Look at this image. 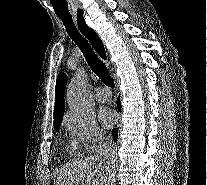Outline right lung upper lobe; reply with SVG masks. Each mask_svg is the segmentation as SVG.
Returning <instances> with one entry per match:
<instances>
[{
	"label": "right lung upper lobe",
	"instance_id": "right-lung-upper-lobe-1",
	"mask_svg": "<svg viewBox=\"0 0 207 185\" xmlns=\"http://www.w3.org/2000/svg\"><path fill=\"white\" fill-rule=\"evenodd\" d=\"M67 83V76L64 73H59L56 82V102L54 108V127L59 128L65 110L64 92Z\"/></svg>",
	"mask_w": 207,
	"mask_h": 185
}]
</instances>
